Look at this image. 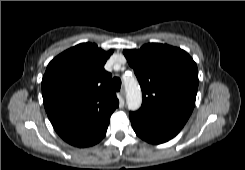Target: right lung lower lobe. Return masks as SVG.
Instances as JSON below:
<instances>
[{"instance_id":"obj_1","label":"right lung lower lobe","mask_w":245,"mask_h":170,"mask_svg":"<svg viewBox=\"0 0 245 170\" xmlns=\"http://www.w3.org/2000/svg\"><path fill=\"white\" fill-rule=\"evenodd\" d=\"M104 136H105V135H104ZM104 136H102V137L99 139V141H100ZM99 141H98V142H99ZM96 143H97V142H96Z\"/></svg>"}]
</instances>
